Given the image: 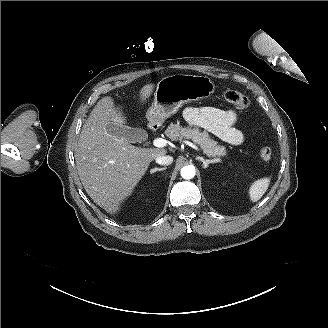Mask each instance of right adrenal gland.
<instances>
[{
	"instance_id": "2a0ac1e0",
	"label": "right adrenal gland",
	"mask_w": 328,
	"mask_h": 328,
	"mask_svg": "<svg viewBox=\"0 0 328 328\" xmlns=\"http://www.w3.org/2000/svg\"><path fill=\"white\" fill-rule=\"evenodd\" d=\"M166 169V167H163V168H155L154 170H153V172H156V171H163V170H165Z\"/></svg>"
}]
</instances>
